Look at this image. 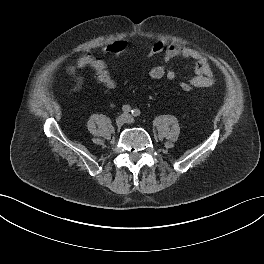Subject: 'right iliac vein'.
Returning a JSON list of instances; mask_svg holds the SVG:
<instances>
[{"instance_id": "63e3f726", "label": "right iliac vein", "mask_w": 264, "mask_h": 264, "mask_svg": "<svg viewBox=\"0 0 264 264\" xmlns=\"http://www.w3.org/2000/svg\"><path fill=\"white\" fill-rule=\"evenodd\" d=\"M126 120H127L126 115L125 114H121L116 119V125L120 127L126 122Z\"/></svg>"}]
</instances>
